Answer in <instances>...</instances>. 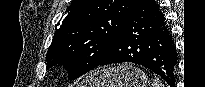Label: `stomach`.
<instances>
[{
	"label": "stomach",
	"mask_w": 205,
	"mask_h": 87,
	"mask_svg": "<svg viewBox=\"0 0 205 87\" xmlns=\"http://www.w3.org/2000/svg\"><path fill=\"white\" fill-rule=\"evenodd\" d=\"M148 82L142 70L123 64L91 73L80 87H147Z\"/></svg>",
	"instance_id": "stomach-1"
}]
</instances>
